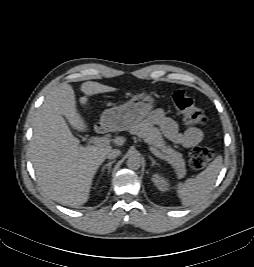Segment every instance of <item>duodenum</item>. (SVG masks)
Segmentation results:
<instances>
[{"instance_id": "obj_1", "label": "duodenum", "mask_w": 254, "mask_h": 267, "mask_svg": "<svg viewBox=\"0 0 254 267\" xmlns=\"http://www.w3.org/2000/svg\"><path fill=\"white\" fill-rule=\"evenodd\" d=\"M105 127L103 126V125H97V127H96V131L98 132V133H104L105 132Z\"/></svg>"}]
</instances>
